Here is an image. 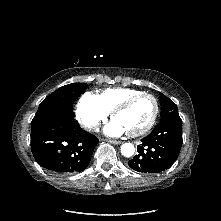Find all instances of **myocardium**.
I'll return each mask as SVG.
<instances>
[{
    "instance_id": "1",
    "label": "myocardium",
    "mask_w": 221,
    "mask_h": 221,
    "mask_svg": "<svg viewBox=\"0 0 221 221\" xmlns=\"http://www.w3.org/2000/svg\"><path fill=\"white\" fill-rule=\"evenodd\" d=\"M143 97H149L153 100L154 102V112L153 115L150 119V121L148 122L147 125H145L142 129L136 131V132H128V135L131 137H139V136H143L146 133H148L153 126L155 125L158 116H159V112H160V105H159V101L156 98V96H154L151 93H147V92H142L139 94H136L134 96H131L129 98H127L126 100H124L123 102H121L119 105H117L113 110H112V118L115 119V117L122 111L127 110L129 107H131L137 100H139L140 98Z\"/></svg>"
}]
</instances>
